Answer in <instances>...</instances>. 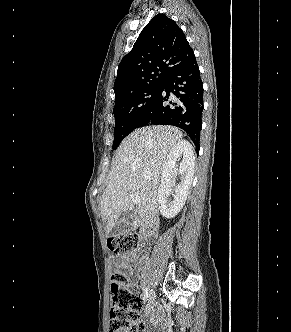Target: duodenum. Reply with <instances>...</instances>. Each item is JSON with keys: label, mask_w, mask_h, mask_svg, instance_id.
I'll list each match as a JSON object with an SVG mask.
<instances>
[{"label": "duodenum", "mask_w": 291, "mask_h": 332, "mask_svg": "<svg viewBox=\"0 0 291 332\" xmlns=\"http://www.w3.org/2000/svg\"><path fill=\"white\" fill-rule=\"evenodd\" d=\"M158 226V220L156 218H151L145 220L140 228V233L143 239L150 237Z\"/></svg>", "instance_id": "obj_1"}]
</instances>
